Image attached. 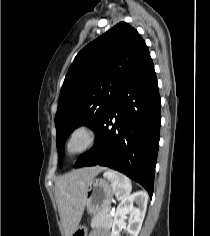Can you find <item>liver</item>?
<instances>
[{"label":"liver","instance_id":"liver-1","mask_svg":"<svg viewBox=\"0 0 210 236\" xmlns=\"http://www.w3.org/2000/svg\"><path fill=\"white\" fill-rule=\"evenodd\" d=\"M104 167H87L59 177L55 182V196L65 236L77 229L85 207V194L90 182Z\"/></svg>","mask_w":210,"mask_h":236}]
</instances>
